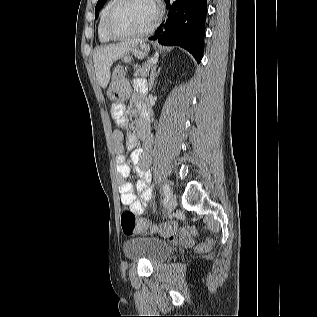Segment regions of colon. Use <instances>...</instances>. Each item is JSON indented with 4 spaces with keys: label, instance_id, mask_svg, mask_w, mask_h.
I'll return each mask as SVG.
<instances>
[{
    "label": "colon",
    "instance_id": "1",
    "mask_svg": "<svg viewBox=\"0 0 317 317\" xmlns=\"http://www.w3.org/2000/svg\"><path fill=\"white\" fill-rule=\"evenodd\" d=\"M108 98L112 101L113 106H120L129 95V83L125 72L122 68H116L110 80ZM121 228L125 235H132L147 228L144 220L139 219L131 210L123 209L121 212ZM158 233L171 236L177 230L174 223L163 224L154 228ZM211 247L208 242L200 247L201 251H207Z\"/></svg>",
    "mask_w": 317,
    "mask_h": 317
}]
</instances>
